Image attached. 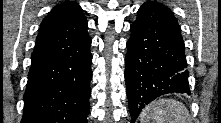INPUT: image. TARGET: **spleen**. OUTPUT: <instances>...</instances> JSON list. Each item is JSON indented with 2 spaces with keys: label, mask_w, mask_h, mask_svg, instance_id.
Wrapping results in <instances>:
<instances>
[{
  "label": "spleen",
  "mask_w": 221,
  "mask_h": 123,
  "mask_svg": "<svg viewBox=\"0 0 221 123\" xmlns=\"http://www.w3.org/2000/svg\"><path fill=\"white\" fill-rule=\"evenodd\" d=\"M189 119L185 105L173 99L155 100L140 114V123H189Z\"/></svg>",
  "instance_id": "3e777b00"
}]
</instances>
